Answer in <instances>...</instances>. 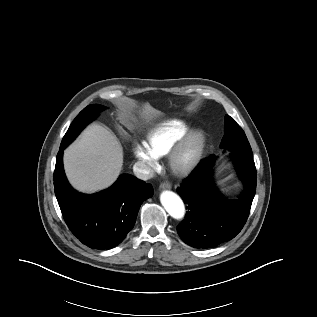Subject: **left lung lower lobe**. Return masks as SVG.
Returning <instances> with one entry per match:
<instances>
[{"mask_svg": "<svg viewBox=\"0 0 317 317\" xmlns=\"http://www.w3.org/2000/svg\"><path fill=\"white\" fill-rule=\"evenodd\" d=\"M242 193L233 200L223 198L212 182L215 155L202 160L177 189L188 212L177 227L181 239L194 248H209L233 239L245 225L256 192L257 174L253 155L232 151Z\"/></svg>", "mask_w": 317, "mask_h": 317, "instance_id": "obj_1", "label": "left lung lower lobe"}]
</instances>
